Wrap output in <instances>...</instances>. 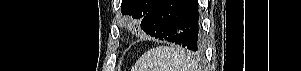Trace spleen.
<instances>
[{
    "label": "spleen",
    "mask_w": 301,
    "mask_h": 71,
    "mask_svg": "<svg viewBox=\"0 0 301 71\" xmlns=\"http://www.w3.org/2000/svg\"><path fill=\"white\" fill-rule=\"evenodd\" d=\"M136 71H196L195 59L179 48L159 46L144 53Z\"/></svg>",
    "instance_id": "obj_1"
}]
</instances>
